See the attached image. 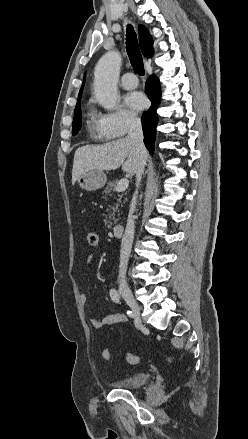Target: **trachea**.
<instances>
[{"label": "trachea", "instance_id": "trachea-1", "mask_svg": "<svg viewBox=\"0 0 248 439\" xmlns=\"http://www.w3.org/2000/svg\"><path fill=\"white\" fill-rule=\"evenodd\" d=\"M126 49L133 69L138 75L143 76L145 74L143 59L137 42V35L131 25L127 26Z\"/></svg>", "mask_w": 248, "mask_h": 439}]
</instances>
